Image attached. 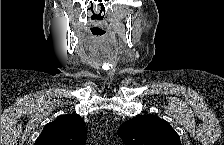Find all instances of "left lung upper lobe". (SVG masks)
<instances>
[{
    "label": "left lung upper lobe",
    "mask_w": 224,
    "mask_h": 145,
    "mask_svg": "<svg viewBox=\"0 0 224 145\" xmlns=\"http://www.w3.org/2000/svg\"><path fill=\"white\" fill-rule=\"evenodd\" d=\"M125 145H181L170 124L156 115L137 116L118 129Z\"/></svg>",
    "instance_id": "5c2ea615"
}]
</instances>
